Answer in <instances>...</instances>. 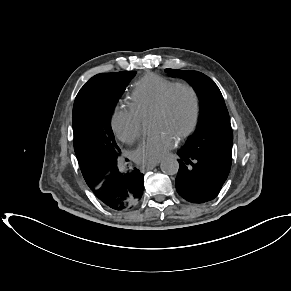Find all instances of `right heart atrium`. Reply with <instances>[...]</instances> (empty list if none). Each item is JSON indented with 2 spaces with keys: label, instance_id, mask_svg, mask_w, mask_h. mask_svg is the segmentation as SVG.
Here are the masks:
<instances>
[{
  "label": "right heart atrium",
  "instance_id": "d8ad5b80",
  "mask_svg": "<svg viewBox=\"0 0 291 291\" xmlns=\"http://www.w3.org/2000/svg\"><path fill=\"white\" fill-rule=\"evenodd\" d=\"M111 127L120 141L132 144L141 136L142 120L129 106H119L112 114Z\"/></svg>",
  "mask_w": 291,
  "mask_h": 291
}]
</instances>
